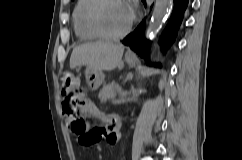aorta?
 <instances>
[{"instance_id": "1", "label": "aorta", "mask_w": 242, "mask_h": 160, "mask_svg": "<svg viewBox=\"0 0 242 160\" xmlns=\"http://www.w3.org/2000/svg\"><path fill=\"white\" fill-rule=\"evenodd\" d=\"M172 0H156L152 17L148 27V35L151 37L157 32L164 17L167 15L169 10L172 8Z\"/></svg>"}]
</instances>
